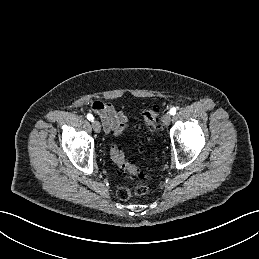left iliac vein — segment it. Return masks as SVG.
Instances as JSON below:
<instances>
[{"label":"left iliac vein","instance_id":"1","mask_svg":"<svg viewBox=\"0 0 259 259\" xmlns=\"http://www.w3.org/2000/svg\"><path fill=\"white\" fill-rule=\"evenodd\" d=\"M162 122L165 127H168L171 122V115L169 113H166L162 118Z\"/></svg>","mask_w":259,"mask_h":259}]
</instances>
